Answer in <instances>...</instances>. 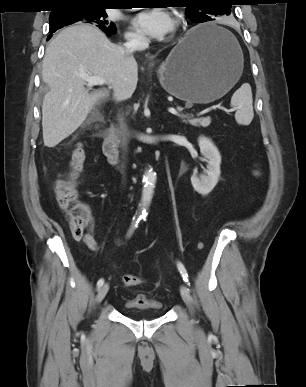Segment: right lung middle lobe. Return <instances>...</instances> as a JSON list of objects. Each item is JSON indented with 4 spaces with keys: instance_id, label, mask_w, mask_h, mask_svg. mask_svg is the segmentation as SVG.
<instances>
[{
    "instance_id": "right-lung-middle-lobe-1",
    "label": "right lung middle lobe",
    "mask_w": 306,
    "mask_h": 387,
    "mask_svg": "<svg viewBox=\"0 0 306 387\" xmlns=\"http://www.w3.org/2000/svg\"><path fill=\"white\" fill-rule=\"evenodd\" d=\"M107 13L100 6H71L60 8L59 11L50 14V33L76 22L92 23L105 33L115 34L116 27L113 22L106 20Z\"/></svg>"
}]
</instances>
